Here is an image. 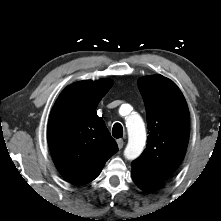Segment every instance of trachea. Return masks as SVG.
Masks as SVG:
<instances>
[{
  "label": "trachea",
  "mask_w": 221,
  "mask_h": 221,
  "mask_svg": "<svg viewBox=\"0 0 221 221\" xmlns=\"http://www.w3.org/2000/svg\"><path fill=\"white\" fill-rule=\"evenodd\" d=\"M112 135L115 138H121L123 136V127L120 123H115L112 129Z\"/></svg>",
  "instance_id": "obj_1"
}]
</instances>
